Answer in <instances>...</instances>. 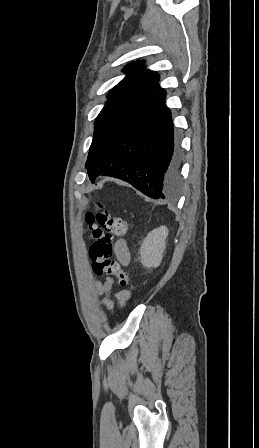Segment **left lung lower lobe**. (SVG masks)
Wrapping results in <instances>:
<instances>
[{"instance_id": "obj_1", "label": "left lung lower lobe", "mask_w": 259, "mask_h": 448, "mask_svg": "<svg viewBox=\"0 0 259 448\" xmlns=\"http://www.w3.org/2000/svg\"><path fill=\"white\" fill-rule=\"evenodd\" d=\"M165 100L166 91L160 87L143 109L130 114L91 161L92 183L99 175L116 177L154 199L176 189L182 154Z\"/></svg>"}]
</instances>
